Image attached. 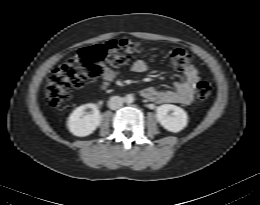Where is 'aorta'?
I'll return each instance as SVG.
<instances>
[{
    "label": "aorta",
    "mask_w": 260,
    "mask_h": 205,
    "mask_svg": "<svg viewBox=\"0 0 260 205\" xmlns=\"http://www.w3.org/2000/svg\"><path fill=\"white\" fill-rule=\"evenodd\" d=\"M124 101L128 104L132 103L134 101V97L132 94H128L126 95V97L124 98Z\"/></svg>",
    "instance_id": "1"
}]
</instances>
